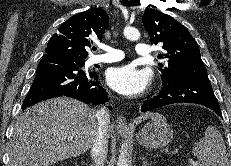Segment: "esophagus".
Listing matches in <instances>:
<instances>
[{
    "instance_id": "obj_1",
    "label": "esophagus",
    "mask_w": 231,
    "mask_h": 166,
    "mask_svg": "<svg viewBox=\"0 0 231 166\" xmlns=\"http://www.w3.org/2000/svg\"><path fill=\"white\" fill-rule=\"evenodd\" d=\"M115 126L119 133H127L129 131L126 120L122 115L117 116L115 120Z\"/></svg>"
}]
</instances>
